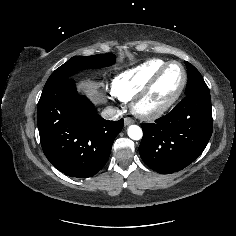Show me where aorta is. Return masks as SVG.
I'll return each mask as SVG.
<instances>
[{"label":"aorta","instance_id":"aorta-1","mask_svg":"<svg viewBox=\"0 0 236 236\" xmlns=\"http://www.w3.org/2000/svg\"><path fill=\"white\" fill-rule=\"evenodd\" d=\"M128 136L133 140H140L143 136L142 129L137 125H130L127 130Z\"/></svg>","mask_w":236,"mask_h":236}]
</instances>
